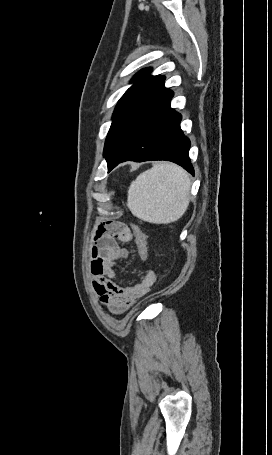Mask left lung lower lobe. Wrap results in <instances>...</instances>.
<instances>
[{"label":"left lung lower lobe","mask_w":272,"mask_h":455,"mask_svg":"<svg viewBox=\"0 0 272 455\" xmlns=\"http://www.w3.org/2000/svg\"><path fill=\"white\" fill-rule=\"evenodd\" d=\"M172 97L173 92L164 89L124 126L105 156L108 172L127 160H167L194 175L190 140L180 128L181 115L170 107Z\"/></svg>","instance_id":"1"}]
</instances>
